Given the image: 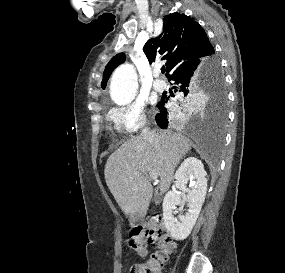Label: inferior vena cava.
Returning <instances> with one entry per match:
<instances>
[{
	"instance_id": "1",
	"label": "inferior vena cava",
	"mask_w": 285,
	"mask_h": 273,
	"mask_svg": "<svg viewBox=\"0 0 285 273\" xmlns=\"http://www.w3.org/2000/svg\"><path fill=\"white\" fill-rule=\"evenodd\" d=\"M156 135V132L155 131H150L149 128H145L142 130V133H141V136L143 138H147L149 136H155Z\"/></svg>"
}]
</instances>
